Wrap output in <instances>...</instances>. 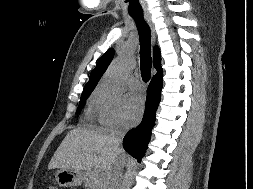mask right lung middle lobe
<instances>
[{"mask_svg": "<svg viewBox=\"0 0 253 189\" xmlns=\"http://www.w3.org/2000/svg\"><path fill=\"white\" fill-rule=\"evenodd\" d=\"M92 90L83 91L77 112L79 113L85 105L86 99L90 96Z\"/></svg>", "mask_w": 253, "mask_h": 189, "instance_id": "dd1d6c3e", "label": "right lung middle lobe"}]
</instances>
